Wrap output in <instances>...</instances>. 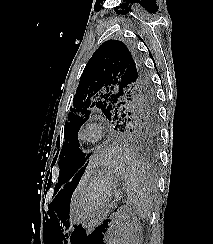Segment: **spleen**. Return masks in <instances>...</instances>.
Instances as JSON below:
<instances>
[{"instance_id": "obj_1", "label": "spleen", "mask_w": 213, "mask_h": 244, "mask_svg": "<svg viewBox=\"0 0 213 244\" xmlns=\"http://www.w3.org/2000/svg\"><path fill=\"white\" fill-rule=\"evenodd\" d=\"M108 160L116 176L125 181L128 206H132L141 218H147L152 211L153 184L143 158L128 150L113 149Z\"/></svg>"}]
</instances>
